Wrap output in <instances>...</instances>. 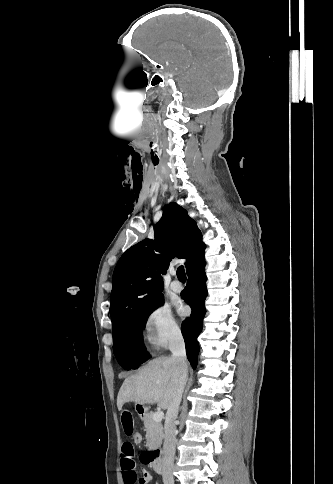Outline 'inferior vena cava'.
<instances>
[{"label": "inferior vena cava", "mask_w": 333, "mask_h": 484, "mask_svg": "<svg viewBox=\"0 0 333 484\" xmlns=\"http://www.w3.org/2000/svg\"><path fill=\"white\" fill-rule=\"evenodd\" d=\"M169 349L172 352L171 358L176 360L179 364L182 371V377L173 402L167 411L162 457V478L164 484H174L173 466L177 434L175 421L178 416L179 405L181 403L188 370L185 343L180 330H175L171 334L169 338Z\"/></svg>", "instance_id": "inferior-vena-cava-1"}]
</instances>
